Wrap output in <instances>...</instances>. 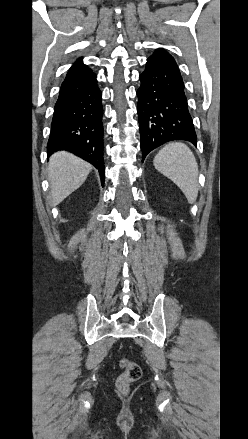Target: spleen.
<instances>
[{
  "mask_svg": "<svg viewBox=\"0 0 248 439\" xmlns=\"http://www.w3.org/2000/svg\"><path fill=\"white\" fill-rule=\"evenodd\" d=\"M153 164L181 189L190 204L196 201L199 191L198 164L186 144L168 143L156 154Z\"/></svg>",
  "mask_w": 248,
  "mask_h": 439,
  "instance_id": "3e777b00",
  "label": "spleen"
}]
</instances>
